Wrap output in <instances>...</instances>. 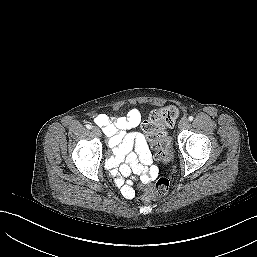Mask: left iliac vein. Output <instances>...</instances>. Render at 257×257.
<instances>
[{"mask_svg": "<svg viewBox=\"0 0 257 257\" xmlns=\"http://www.w3.org/2000/svg\"><path fill=\"white\" fill-rule=\"evenodd\" d=\"M188 126V119L183 118L180 120L178 127L179 129H185Z\"/></svg>", "mask_w": 257, "mask_h": 257, "instance_id": "obj_1", "label": "left iliac vein"}]
</instances>
